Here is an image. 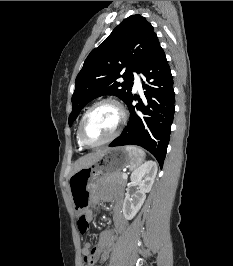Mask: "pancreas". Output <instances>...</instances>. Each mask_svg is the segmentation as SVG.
Here are the masks:
<instances>
[{
  "mask_svg": "<svg viewBox=\"0 0 233 266\" xmlns=\"http://www.w3.org/2000/svg\"><path fill=\"white\" fill-rule=\"evenodd\" d=\"M103 183H110V184H117L124 186L126 184V179L122 178L121 172L110 173L105 175Z\"/></svg>",
  "mask_w": 233,
  "mask_h": 266,
  "instance_id": "obj_1",
  "label": "pancreas"
}]
</instances>
